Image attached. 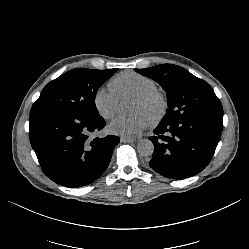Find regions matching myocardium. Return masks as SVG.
<instances>
[{
    "label": "myocardium",
    "mask_w": 249,
    "mask_h": 249,
    "mask_svg": "<svg viewBox=\"0 0 249 249\" xmlns=\"http://www.w3.org/2000/svg\"><path fill=\"white\" fill-rule=\"evenodd\" d=\"M135 99L145 105L157 106L155 114L148 119L149 125L157 127L166 117L169 110V101L167 96L158 89L147 91L135 96Z\"/></svg>",
    "instance_id": "obj_1"
}]
</instances>
